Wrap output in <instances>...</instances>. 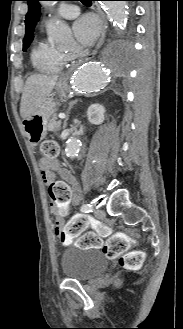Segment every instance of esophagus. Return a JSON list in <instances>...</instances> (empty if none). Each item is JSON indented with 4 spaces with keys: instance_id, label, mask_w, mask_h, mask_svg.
<instances>
[{
    "instance_id": "1",
    "label": "esophagus",
    "mask_w": 183,
    "mask_h": 329,
    "mask_svg": "<svg viewBox=\"0 0 183 329\" xmlns=\"http://www.w3.org/2000/svg\"><path fill=\"white\" fill-rule=\"evenodd\" d=\"M93 9L98 14L100 21H101V35H100L99 41H98L96 47L94 48V50L91 53H89L88 55H86L83 58V60H79L78 63L76 65H74L73 67H76L78 64L93 58L96 55L99 48L104 43V40L106 37V31H107V21H106V18L104 16V13H103L101 7L96 2L93 3ZM66 79H67L66 75L61 77V81H65Z\"/></svg>"
}]
</instances>
